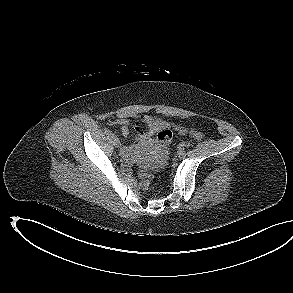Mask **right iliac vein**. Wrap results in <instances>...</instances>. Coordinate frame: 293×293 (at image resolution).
<instances>
[{"label": "right iliac vein", "mask_w": 293, "mask_h": 293, "mask_svg": "<svg viewBox=\"0 0 293 293\" xmlns=\"http://www.w3.org/2000/svg\"><path fill=\"white\" fill-rule=\"evenodd\" d=\"M112 142H113V145L117 148L121 146L120 140L117 137H113Z\"/></svg>", "instance_id": "right-iliac-vein-1"}]
</instances>
